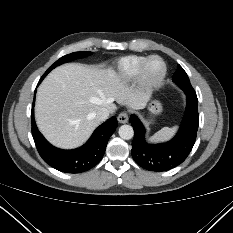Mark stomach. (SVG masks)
<instances>
[{
	"label": "stomach",
	"instance_id": "obj_1",
	"mask_svg": "<svg viewBox=\"0 0 233 233\" xmlns=\"http://www.w3.org/2000/svg\"><path fill=\"white\" fill-rule=\"evenodd\" d=\"M148 110L152 115H158L162 111L161 103L157 100H152L149 103Z\"/></svg>",
	"mask_w": 233,
	"mask_h": 233
}]
</instances>
